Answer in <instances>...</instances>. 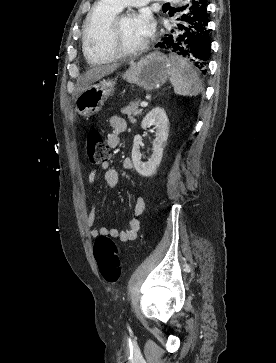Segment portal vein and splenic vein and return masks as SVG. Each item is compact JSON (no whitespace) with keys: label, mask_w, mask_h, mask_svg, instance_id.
<instances>
[{"label":"portal vein and splenic vein","mask_w":276,"mask_h":363,"mask_svg":"<svg viewBox=\"0 0 276 363\" xmlns=\"http://www.w3.org/2000/svg\"><path fill=\"white\" fill-rule=\"evenodd\" d=\"M140 106H141V107H146V106H148V103H147V102H145V101H143V102H141V103H140Z\"/></svg>","instance_id":"portal-vein-and-splenic-vein-1"}]
</instances>
